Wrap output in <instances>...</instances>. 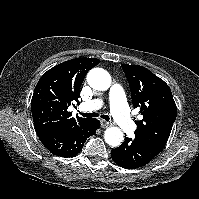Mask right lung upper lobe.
<instances>
[{
  "mask_svg": "<svg viewBox=\"0 0 199 199\" xmlns=\"http://www.w3.org/2000/svg\"><path fill=\"white\" fill-rule=\"evenodd\" d=\"M99 63L96 58L72 59L54 66L40 78L31 101L36 131L71 128L89 120L71 117L68 107L78 101L85 75Z\"/></svg>",
  "mask_w": 199,
  "mask_h": 199,
  "instance_id": "cb5924a9",
  "label": "right lung upper lobe"
}]
</instances>
